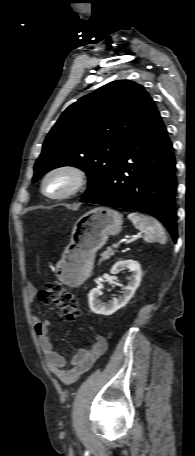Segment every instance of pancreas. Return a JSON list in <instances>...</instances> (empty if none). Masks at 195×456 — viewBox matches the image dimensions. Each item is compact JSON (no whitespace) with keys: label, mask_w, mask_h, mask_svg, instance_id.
<instances>
[{"label":"pancreas","mask_w":195,"mask_h":456,"mask_svg":"<svg viewBox=\"0 0 195 456\" xmlns=\"http://www.w3.org/2000/svg\"><path fill=\"white\" fill-rule=\"evenodd\" d=\"M116 251H114L111 247H108L102 254L101 258L99 260V264L103 261H106L110 259L111 256L115 254Z\"/></svg>","instance_id":"pancreas-1"}]
</instances>
